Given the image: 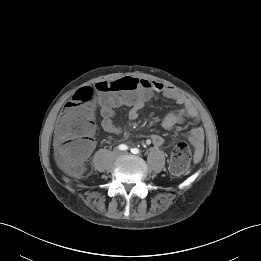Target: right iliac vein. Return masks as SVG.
Listing matches in <instances>:
<instances>
[{
    "label": "right iliac vein",
    "instance_id": "obj_1",
    "mask_svg": "<svg viewBox=\"0 0 261 261\" xmlns=\"http://www.w3.org/2000/svg\"><path fill=\"white\" fill-rule=\"evenodd\" d=\"M119 153L118 152H115V156H117Z\"/></svg>",
    "mask_w": 261,
    "mask_h": 261
}]
</instances>
